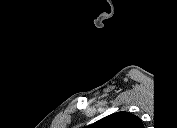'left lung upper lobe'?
Segmentation results:
<instances>
[{
  "mask_svg": "<svg viewBox=\"0 0 177 128\" xmlns=\"http://www.w3.org/2000/svg\"><path fill=\"white\" fill-rule=\"evenodd\" d=\"M99 128H143L141 120L129 112H116L99 120Z\"/></svg>",
  "mask_w": 177,
  "mask_h": 128,
  "instance_id": "1",
  "label": "left lung upper lobe"
}]
</instances>
